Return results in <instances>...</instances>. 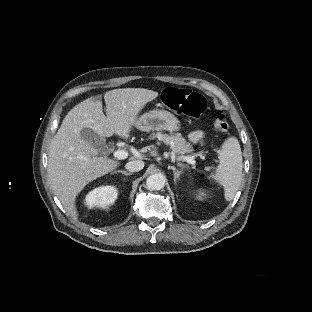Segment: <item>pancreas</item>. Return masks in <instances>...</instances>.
Returning <instances> with one entry per match:
<instances>
[{
  "instance_id": "obj_1",
  "label": "pancreas",
  "mask_w": 312,
  "mask_h": 312,
  "mask_svg": "<svg viewBox=\"0 0 312 312\" xmlns=\"http://www.w3.org/2000/svg\"><path fill=\"white\" fill-rule=\"evenodd\" d=\"M161 141L165 145L171 146L172 151L176 154L184 155L187 152L194 151L193 145L187 142L184 138H182L181 134H175L174 136L170 137L161 135Z\"/></svg>"
}]
</instances>
